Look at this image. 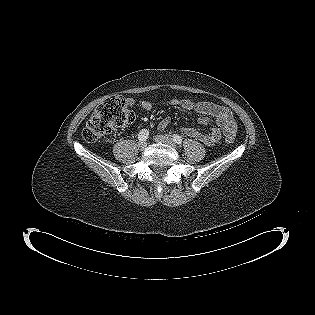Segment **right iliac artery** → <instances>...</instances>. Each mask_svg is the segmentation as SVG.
<instances>
[{
  "mask_svg": "<svg viewBox=\"0 0 315 315\" xmlns=\"http://www.w3.org/2000/svg\"><path fill=\"white\" fill-rule=\"evenodd\" d=\"M149 136V131L147 129H142L138 134L139 141H145L147 140Z\"/></svg>",
  "mask_w": 315,
  "mask_h": 315,
  "instance_id": "right-iliac-artery-1",
  "label": "right iliac artery"
}]
</instances>
